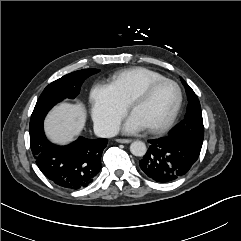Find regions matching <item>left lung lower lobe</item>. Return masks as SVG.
Masks as SVG:
<instances>
[{"instance_id": "1", "label": "left lung lower lobe", "mask_w": 241, "mask_h": 241, "mask_svg": "<svg viewBox=\"0 0 241 241\" xmlns=\"http://www.w3.org/2000/svg\"><path fill=\"white\" fill-rule=\"evenodd\" d=\"M150 147L139 161L143 173L150 179L166 183L185 175L196 162L199 152L180 138L167 136L150 140Z\"/></svg>"}]
</instances>
